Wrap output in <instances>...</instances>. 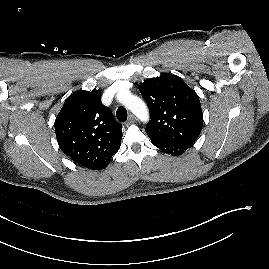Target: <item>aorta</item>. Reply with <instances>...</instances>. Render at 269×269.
<instances>
[{
  "label": "aorta",
  "mask_w": 269,
  "mask_h": 269,
  "mask_svg": "<svg viewBox=\"0 0 269 269\" xmlns=\"http://www.w3.org/2000/svg\"><path fill=\"white\" fill-rule=\"evenodd\" d=\"M133 114H135L142 121H147L149 117L148 109L145 103L137 96L131 95L125 91L122 93L120 99Z\"/></svg>",
  "instance_id": "1"
}]
</instances>
